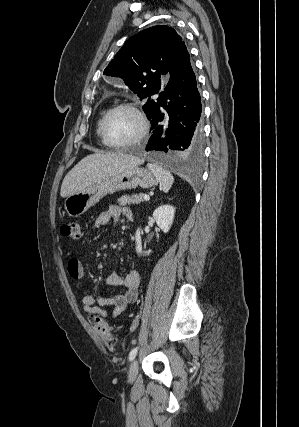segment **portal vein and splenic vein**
Listing matches in <instances>:
<instances>
[{
    "mask_svg": "<svg viewBox=\"0 0 299 427\" xmlns=\"http://www.w3.org/2000/svg\"><path fill=\"white\" fill-rule=\"evenodd\" d=\"M143 198L145 201H148L150 199L149 195H145Z\"/></svg>",
    "mask_w": 299,
    "mask_h": 427,
    "instance_id": "1",
    "label": "portal vein and splenic vein"
}]
</instances>
